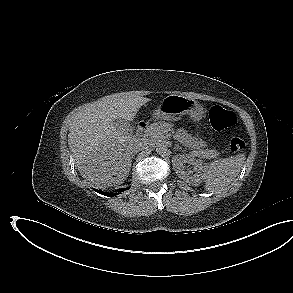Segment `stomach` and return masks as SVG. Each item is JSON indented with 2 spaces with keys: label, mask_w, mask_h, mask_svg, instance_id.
Instances as JSON below:
<instances>
[{
  "label": "stomach",
  "mask_w": 293,
  "mask_h": 293,
  "mask_svg": "<svg viewBox=\"0 0 293 293\" xmlns=\"http://www.w3.org/2000/svg\"><path fill=\"white\" fill-rule=\"evenodd\" d=\"M188 114L193 121L203 118L204 109L197 101L181 95H168L154 110L156 120L177 121Z\"/></svg>",
  "instance_id": "stomach-1"
}]
</instances>
